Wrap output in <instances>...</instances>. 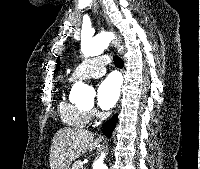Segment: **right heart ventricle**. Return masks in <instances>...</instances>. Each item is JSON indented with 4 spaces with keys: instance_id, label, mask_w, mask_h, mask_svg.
I'll return each instance as SVG.
<instances>
[{
    "instance_id": "right-heart-ventricle-1",
    "label": "right heart ventricle",
    "mask_w": 200,
    "mask_h": 169,
    "mask_svg": "<svg viewBox=\"0 0 200 169\" xmlns=\"http://www.w3.org/2000/svg\"><path fill=\"white\" fill-rule=\"evenodd\" d=\"M58 110L62 121L68 126L81 128L89 122L87 110L68 102L65 98L60 100Z\"/></svg>"
}]
</instances>
